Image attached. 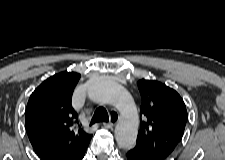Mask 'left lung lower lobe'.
Returning a JSON list of instances; mask_svg holds the SVG:
<instances>
[{"label": "left lung lower lobe", "instance_id": "0a47b994", "mask_svg": "<svg viewBox=\"0 0 225 160\" xmlns=\"http://www.w3.org/2000/svg\"><path fill=\"white\" fill-rule=\"evenodd\" d=\"M126 159L127 160H154L138 151L135 149H131L126 153Z\"/></svg>", "mask_w": 225, "mask_h": 160}]
</instances>
